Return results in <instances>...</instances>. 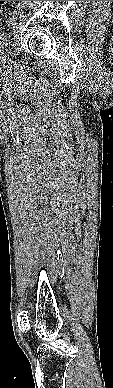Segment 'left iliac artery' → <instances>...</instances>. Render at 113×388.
Returning <instances> with one entry per match:
<instances>
[{"mask_svg":"<svg viewBox=\"0 0 113 388\" xmlns=\"http://www.w3.org/2000/svg\"><path fill=\"white\" fill-rule=\"evenodd\" d=\"M0 52H1V49L4 50L5 47L7 46V34L5 32H3V34L0 36Z\"/></svg>","mask_w":113,"mask_h":388,"instance_id":"1","label":"left iliac artery"}]
</instances>
